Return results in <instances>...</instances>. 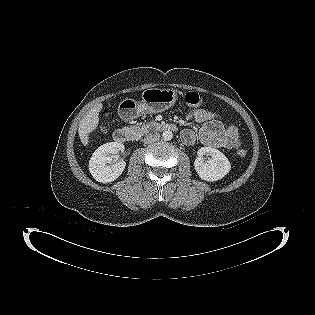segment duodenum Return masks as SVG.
<instances>
[{"mask_svg":"<svg viewBox=\"0 0 315 315\" xmlns=\"http://www.w3.org/2000/svg\"><path fill=\"white\" fill-rule=\"evenodd\" d=\"M154 128L160 131H176L177 127L172 123H163L158 122L155 123ZM135 137V134L132 130L126 127L118 128L115 130L113 134V138L118 143H126L130 140H132Z\"/></svg>","mask_w":315,"mask_h":315,"instance_id":"obj_1","label":"duodenum"}]
</instances>
